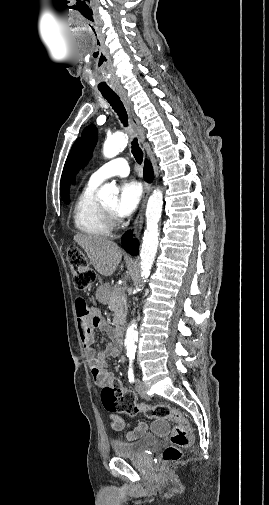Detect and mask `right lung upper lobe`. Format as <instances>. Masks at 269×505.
I'll list each match as a JSON object with an SVG mask.
<instances>
[{"label":"right lung upper lobe","instance_id":"right-lung-upper-lobe-1","mask_svg":"<svg viewBox=\"0 0 269 505\" xmlns=\"http://www.w3.org/2000/svg\"><path fill=\"white\" fill-rule=\"evenodd\" d=\"M69 158L70 156H68L66 160L60 185V192L63 201L69 200V179H68Z\"/></svg>","mask_w":269,"mask_h":505}]
</instances>
